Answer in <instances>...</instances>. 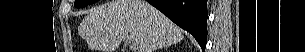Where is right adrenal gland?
Returning <instances> with one entry per match:
<instances>
[{
  "instance_id": "right-adrenal-gland-1",
  "label": "right adrenal gland",
  "mask_w": 305,
  "mask_h": 52,
  "mask_svg": "<svg viewBox=\"0 0 305 52\" xmlns=\"http://www.w3.org/2000/svg\"><path fill=\"white\" fill-rule=\"evenodd\" d=\"M168 46H164V47H161V48H159V49H163V48H167Z\"/></svg>"
}]
</instances>
